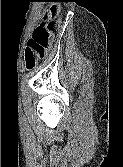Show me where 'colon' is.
I'll return each mask as SVG.
<instances>
[{
    "instance_id": "5ec220e1",
    "label": "colon",
    "mask_w": 123,
    "mask_h": 167,
    "mask_svg": "<svg viewBox=\"0 0 123 167\" xmlns=\"http://www.w3.org/2000/svg\"><path fill=\"white\" fill-rule=\"evenodd\" d=\"M60 10L57 7H51L44 16V21L37 26L27 43L25 54V67L32 70L36 62L43 58L52 36L58 32L60 27Z\"/></svg>"
}]
</instances>
